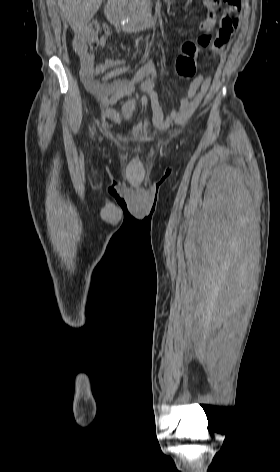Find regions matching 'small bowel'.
Wrapping results in <instances>:
<instances>
[{"label": "small bowel", "instance_id": "obj_1", "mask_svg": "<svg viewBox=\"0 0 280 472\" xmlns=\"http://www.w3.org/2000/svg\"><path fill=\"white\" fill-rule=\"evenodd\" d=\"M204 4L207 12L200 17L202 35L195 41L188 40L184 42L182 54L178 59H188L194 62L198 54L205 49H210L213 55H219L235 35L237 21L234 24H227L222 21L216 36L213 37L211 32L216 22L215 6L211 3V0H204ZM106 41V37L102 36L99 45L104 46ZM73 46L80 59V79L82 83L99 104L105 108L106 115L114 120L117 119L119 114L112 106L121 97L130 96L138 82H141L142 90L150 98L154 121L160 128L167 127L172 121H186L200 105L211 85V78L208 76L197 75L194 77L187 96L179 102L177 108L173 109L167 117H164L158 95L153 89L157 69L152 60H147L135 71L131 79L110 82L111 79L126 74L130 70L123 60L108 59L96 64L94 55L89 51L85 42L75 38Z\"/></svg>", "mask_w": 280, "mask_h": 472}]
</instances>
